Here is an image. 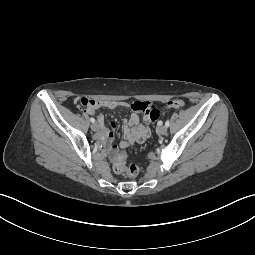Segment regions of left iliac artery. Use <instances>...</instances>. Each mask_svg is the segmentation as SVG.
Returning <instances> with one entry per match:
<instances>
[{"mask_svg":"<svg viewBox=\"0 0 255 255\" xmlns=\"http://www.w3.org/2000/svg\"><path fill=\"white\" fill-rule=\"evenodd\" d=\"M169 125H170V122H169V120H167V121L165 122V126H166V127H169Z\"/></svg>","mask_w":255,"mask_h":255,"instance_id":"obj_1","label":"left iliac artery"}]
</instances>
